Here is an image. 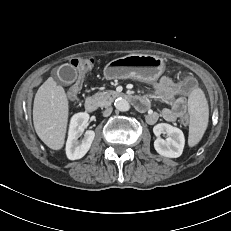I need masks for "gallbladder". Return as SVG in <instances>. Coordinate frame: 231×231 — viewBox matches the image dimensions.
<instances>
[{"label":"gallbladder","mask_w":231,"mask_h":231,"mask_svg":"<svg viewBox=\"0 0 231 231\" xmlns=\"http://www.w3.org/2000/svg\"><path fill=\"white\" fill-rule=\"evenodd\" d=\"M76 74V70L71 65L67 64L58 68L55 78L58 82L69 85L75 81Z\"/></svg>","instance_id":"bac80fb5"}]
</instances>
